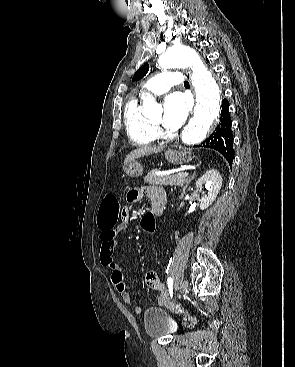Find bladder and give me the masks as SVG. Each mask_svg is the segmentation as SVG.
<instances>
[{
    "label": "bladder",
    "mask_w": 295,
    "mask_h": 367,
    "mask_svg": "<svg viewBox=\"0 0 295 367\" xmlns=\"http://www.w3.org/2000/svg\"><path fill=\"white\" fill-rule=\"evenodd\" d=\"M145 332L150 337L174 334L177 327L167 312L159 307L148 308L143 315Z\"/></svg>",
    "instance_id": "1"
}]
</instances>
